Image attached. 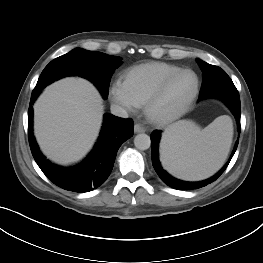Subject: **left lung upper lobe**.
<instances>
[{"label": "left lung upper lobe", "instance_id": "obj_1", "mask_svg": "<svg viewBox=\"0 0 263 263\" xmlns=\"http://www.w3.org/2000/svg\"><path fill=\"white\" fill-rule=\"evenodd\" d=\"M197 63L199 64V66L207 65V63H205L199 59H197ZM212 80L213 81H211L208 85H206L204 80H203V85H202L200 94L203 93L207 87H212V88H232V87H235L232 80L230 79V77L225 73V71H223L219 67H218V71L216 72V78H212Z\"/></svg>", "mask_w": 263, "mask_h": 263}]
</instances>
